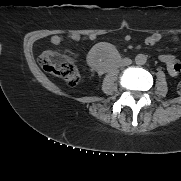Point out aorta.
Masks as SVG:
<instances>
[{
	"instance_id": "obj_1",
	"label": "aorta",
	"mask_w": 181,
	"mask_h": 181,
	"mask_svg": "<svg viewBox=\"0 0 181 181\" xmlns=\"http://www.w3.org/2000/svg\"><path fill=\"white\" fill-rule=\"evenodd\" d=\"M146 62H147V56L144 55V54H138V55L135 57V63H136L137 65H144Z\"/></svg>"
}]
</instances>
